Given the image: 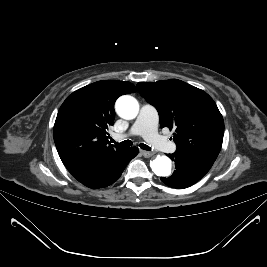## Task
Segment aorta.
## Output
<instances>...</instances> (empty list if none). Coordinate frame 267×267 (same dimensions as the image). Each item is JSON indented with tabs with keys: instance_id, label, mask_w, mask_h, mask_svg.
Wrapping results in <instances>:
<instances>
[{
	"instance_id": "aorta-1",
	"label": "aorta",
	"mask_w": 267,
	"mask_h": 267,
	"mask_svg": "<svg viewBox=\"0 0 267 267\" xmlns=\"http://www.w3.org/2000/svg\"><path fill=\"white\" fill-rule=\"evenodd\" d=\"M115 109L121 118L132 120L139 113V103L134 97L123 95L116 101ZM150 167L157 176L166 177L171 174V161L166 156L158 155L150 162Z\"/></svg>"
}]
</instances>
